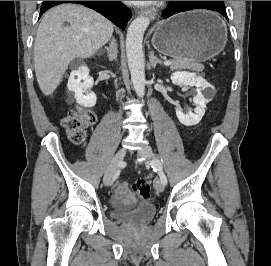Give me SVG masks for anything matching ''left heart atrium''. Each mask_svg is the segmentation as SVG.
Listing matches in <instances>:
<instances>
[{"label":"left heart atrium","instance_id":"left-heart-atrium-1","mask_svg":"<svg viewBox=\"0 0 271 266\" xmlns=\"http://www.w3.org/2000/svg\"><path fill=\"white\" fill-rule=\"evenodd\" d=\"M128 2L135 4V5H147L153 1H128Z\"/></svg>","mask_w":271,"mask_h":266}]
</instances>
